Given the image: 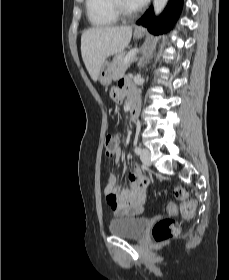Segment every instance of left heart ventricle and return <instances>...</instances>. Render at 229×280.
Instances as JSON below:
<instances>
[{
	"mask_svg": "<svg viewBox=\"0 0 229 280\" xmlns=\"http://www.w3.org/2000/svg\"><path fill=\"white\" fill-rule=\"evenodd\" d=\"M124 5L126 6V8L132 10V9H135V7H133L128 0H122Z\"/></svg>",
	"mask_w": 229,
	"mask_h": 280,
	"instance_id": "left-heart-ventricle-1",
	"label": "left heart ventricle"
}]
</instances>
